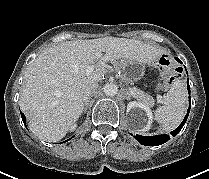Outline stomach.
I'll list each match as a JSON object with an SVG mask.
<instances>
[{
    "label": "stomach",
    "mask_w": 209,
    "mask_h": 179,
    "mask_svg": "<svg viewBox=\"0 0 209 179\" xmlns=\"http://www.w3.org/2000/svg\"><path fill=\"white\" fill-rule=\"evenodd\" d=\"M120 69L122 71L121 79L125 84L137 82L145 73L144 64L137 61H124L120 63Z\"/></svg>",
    "instance_id": "0dacf381"
}]
</instances>
